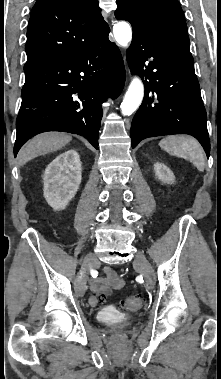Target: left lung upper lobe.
<instances>
[{
  "label": "left lung upper lobe",
  "mask_w": 221,
  "mask_h": 379,
  "mask_svg": "<svg viewBox=\"0 0 221 379\" xmlns=\"http://www.w3.org/2000/svg\"><path fill=\"white\" fill-rule=\"evenodd\" d=\"M115 16L133 31L165 46L190 53L183 11L178 0H117Z\"/></svg>",
  "instance_id": "5c2ea615"
}]
</instances>
